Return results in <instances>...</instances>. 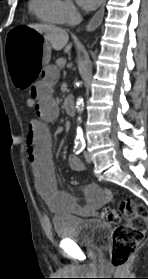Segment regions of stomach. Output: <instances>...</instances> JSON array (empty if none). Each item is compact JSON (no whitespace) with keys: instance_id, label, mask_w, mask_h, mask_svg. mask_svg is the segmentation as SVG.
I'll return each mask as SVG.
<instances>
[{"instance_id":"0dacf381","label":"stomach","mask_w":148,"mask_h":279,"mask_svg":"<svg viewBox=\"0 0 148 279\" xmlns=\"http://www.w3.org/2000/svg\"><path fill=\"white\" fill-rule=\"evenodd\" d=\"M5 55L9 59L8 79H13L14 91H31L32 79L41 75L42 67L50 60L51 48L44 36L34 30V25H11L5 34Z\"/></svg>"}]
</instances>
